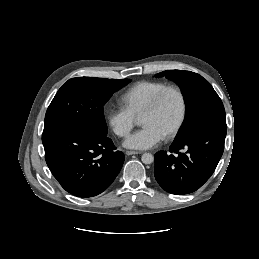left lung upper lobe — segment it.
<instances>
[{
  "label": "left lung upper lobe",
  "mask_w": 259,
  "mask_h": 259,
  "mask_svg": "<svg viewBox=\"0 0 259 259\" xmlns=\"http://www.w3.org/2000/svg\"><path fill=\"white\" fill-rule=\"evenodd\" d=\"M175 81L182 89L187 103V118L175 140L185 138L194 130L206 126L227 128L225 109L211 84L190 71L168 70L156 74Z\"/></svg>",
  "instance_id": "obj_1"
}]
</instances>
